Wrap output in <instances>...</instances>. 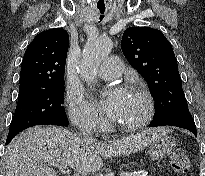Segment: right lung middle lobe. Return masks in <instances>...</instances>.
<instances>
[{
	"instance_id": "1",
	"label": "right lung middle lobe",
	"mask_w": 205,
	"mask_h": 176,
	"mask_svg": "<svg viewBox=\"0 0 205 176\" xmlns=\"http://www.w3.org/2000/svg\"><path fill=\"white\" fill-rule=\"evenodd\" d=\"M64 83L18 96L15 114L7 137L11 141L19 132L36 125L67 126L64 107Z\"/></svg>"
}]
</instances>
